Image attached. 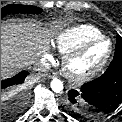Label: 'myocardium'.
<instances>
[{
	"label": "myocardium",
	"mask_w": 122,
	"mask_h": 122,
	"mask_svg": "<svg viewBox=\"0 0 122 122\" xmlns=\"http://www.w3.org/2000/svg\"><path fill=\"white\" fill-rule=\"evenodd\" d=\"M101 42L108 43V51L105 54V56L89 70L82 73L74 72L72 69L73 62L78 58H80L82 55H84L90 48ZM112 53H113V43L109 38L101 36L99 38L90 40L64 56L63 58L64 74L69 80H71L74 83H84L86 81H89L106 66L109 59L111 58Z\"/></svg>",
	"instance_id": "1"
}]
</instances>
